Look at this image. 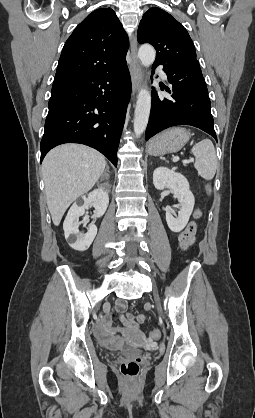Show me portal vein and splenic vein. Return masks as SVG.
I'll list each match as a JSON object with an SVG mask.
<instances>
[{
	"label": "portal vein and splenic vein",
	"mask_w": 255,
	"mask_h": 418,
	"mask_svg": "<svg viewBox=\"0 0 255 418\" xmlns=\"http://www.w3.org/2000/svg\"><path fill=\"white\" fill-rule=\"evenodd\" d=\"M177 161H179V157L178 156H175L174 158H173V162H177ZM185 163H191V162H194V159L193 158H191V159H189V160H186V161H184Z\"/></svg>",
	"instance_id": "obj_1"
}]
</instances>
